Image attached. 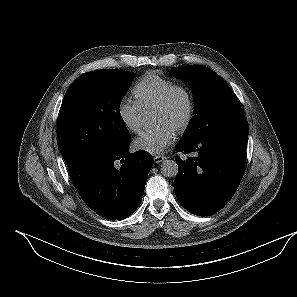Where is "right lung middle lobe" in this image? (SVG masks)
Returning <instances> with one entry per match:
<instances>
[{"instance_id":"1","label":"right lung middle lobe","mask_w":297,"mask_h":297,"mask_svg":"<svg viewBox=\"0 0 297 297\" xmlns=\"http://www.w3.org/2000/svg\"><path fill=\"white\" fill-rule=\"evenodd\" d=\"M134 74L115 69L82 74L67 90L58 115V143L68 167L90 152L130 140L120 102Z\"/></svg>"}]
</instances>
